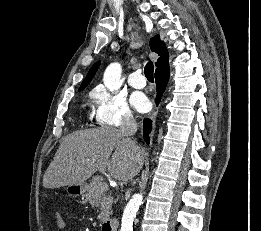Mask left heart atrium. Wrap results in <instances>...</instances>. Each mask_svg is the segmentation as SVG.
I'll return each instance as SVG.
<instances>
[{
  "mask_svg": "<svg viewBox=\"0 0 261 231\" xmlns=\"http://www.w3.org/2000/svg\"><path fill=\"white\" fill-rule=\"evenodd\" d=\"M130 102L134 109L140 113L147 112L150 107V102L146 95L141 92H134L130 97Z\"/></svg>",
  "mask_w": 261,
  "mask_h": 231,
  "instance_id": "obj_1",
  "label": "left heart atrium"
}]
</instances>
